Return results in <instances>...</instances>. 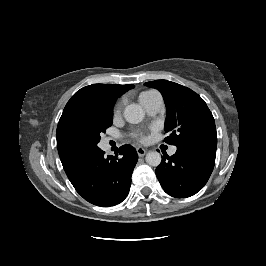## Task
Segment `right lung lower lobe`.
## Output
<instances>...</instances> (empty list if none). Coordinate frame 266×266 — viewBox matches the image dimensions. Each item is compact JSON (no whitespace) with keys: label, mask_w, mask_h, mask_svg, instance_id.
Instances as JSON below:
<instances>
[{"label":"right lung lower lobe","mask_w":266,"mask_h":266,"mask_svg":"<svg viewBox=\"0 0 266 266\" xmlns=\"http://www.w3.org/2000/svg\"><path fill=\"white\" fill-rule=\"evenodd\" d=\"M119 155L105 157L100 149L90 158L81 175L72 182L85 200L97 206H113L127 197L138 155L130 145L121 146Z\"/></svg>","instance_id":"98d812e1"}]
</instances>
